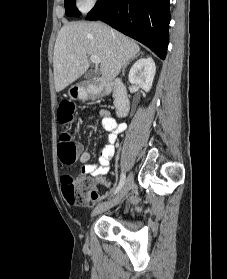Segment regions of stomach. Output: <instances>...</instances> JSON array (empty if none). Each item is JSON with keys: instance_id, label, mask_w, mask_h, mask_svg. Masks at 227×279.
<instances>
[{"instance_id": "obj_1", "label": "stomach", "mask_w": 227, "mask_h": 279, "mask_svg": "<svg viewBox=\"0 0 227 279\" xmlns=\"http://www.w3.org/2000/svg\"><path fill=\"white\" fill-rule=\"evenodd\" d=\"M89 94L90 90L82 87H78V89L75 87H71L68 91V95L73 99H86L89 96Z\"/></svg>"}]
</instances>
